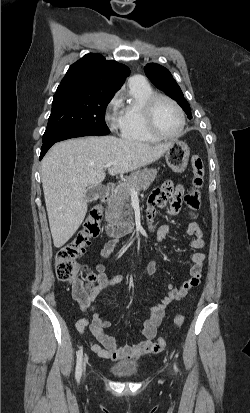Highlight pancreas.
Returning <instances> with one entry per match:
<instances>
[{"mask_svg":"<svg viewBox=\"0 0 250 413\" xmlns=\"http://www.w3.org/2000/svg\"><path fill=\"white\" fill-rule=\"evenodd\" d=\"M157 172V169L144 168L131 173L123 183L117 185L115 193L108 200L107 216L110 222L121 225L131 220V189L136 194L147 189L155 180Z\"/></svg>","mask_w":250,"mask_h":413,"instance_id":"pancreas-1","label":"pancreas"}]
</instances>
